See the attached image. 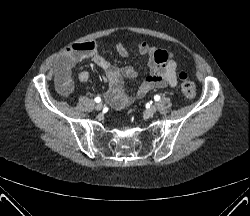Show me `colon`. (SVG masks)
Instances as JSON below:
<instances>
[{
  "instance_id": "colon-1",
  "label": "colon",
  "mask_w": 250,
  "mask_h": 216,
  "mask_svg": "<svg viewBox=\"0 0 250 216\" xmlns=\"http://www.w3.org/2000/svg\"><path fill=\"white\" fill-rule=\"evenodd\" d=\"M179 79L181 81V91L184 98L187 100H192L196 95V88L194 82L185 72H181L179 74Z\"/></svg>"
}]
</instances>
